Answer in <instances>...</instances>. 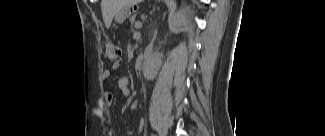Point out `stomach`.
Masks as SVG:
<instances>
[{"label": "stomach", "mask_w": 325, "mask_h": 136, "mask_svg": "<svg viewBox=\"0 0 325 136\" xmlns=\"http://www.w3.org/2000/svg\"><path fill=\"white\" fill-rule=\"evenodd\" d=\"M136 11V5H127L126 7L122 8L120 11L115 13V21L118 23H122L129 15H133V13Z\"/></svg>", "instance_id": "obj_1"}]
</instances>
